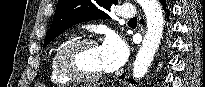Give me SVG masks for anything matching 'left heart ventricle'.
<instances>
[{"instance_id": "left-heart-ventricle-1", "label": "left heart ventricle", "mask_w": 205, "mask_h": 87, "mask_svg": "<svg viewBox=\"0 0 205 87\" xmlns=\"http://www.w3.org/2000/svg\"><path fill=\"white\" fill-rule=\"evenodd\" d=\"M67 63L83 75H94L103 69L100 48L96 46H81L71 51Z\"/></svg>"}]
</instances>
